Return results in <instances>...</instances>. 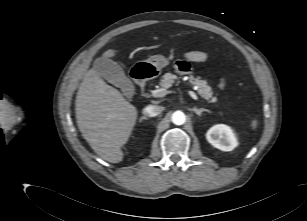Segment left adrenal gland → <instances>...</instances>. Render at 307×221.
<instances>
[{
    "label": "left adrenal gland",
    "instance_id": "left-adrenal-gland-1",
    "mask_svg": "<svg viewBox=\"0 0 307 221\" xmlns=\"http://www.w3.org/2000/svg\"><path fill=\"white\" fill-rule=\"evenodd\" d=\"M192 110H193L199 117L202 115L203 112H208V113L211 112V111L208 110V109H204V108L198 109V108H196V107H194Z\"/></svg>",
    "mask_w": 307,
    "mask_h": 221
}]
</instances>
